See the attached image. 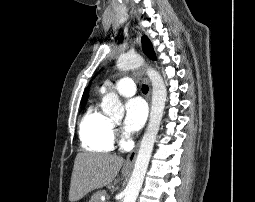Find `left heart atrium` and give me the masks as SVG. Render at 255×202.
Listing matches in <instances>:
<instances>
[{
    "label": "left heart atrium",
    "mask_w": 255,
    "mask_h": 202,
    "mask_svg": "<svg viewBox=\"0 0 255 202\" xmlns=\"http://www.w3.org/2000/svg\"><path fill=\"white\" fill-rule=\"evenodd\" d=\"M126 116L124 128L128 133L139 131L147 118V107L143 100L134 98L129 100L125 106Z\"/></svg>",
    "instance_id": "39dd6f15"
}]
</instances>
